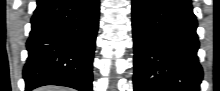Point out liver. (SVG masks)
<instances>
[{
    "label": "liver",
    "instance_id": "6515ba94",
    "mask_svg": "<svg viewBox=\"0 0 220 91\" xmlns=\"http://www.w3.org/2000/svg\"><path fill=\"white\" fill-rule=\"evenodd\" d=\"M36 91H69V90H67L66 88L47 86V87L39 88Z\"/></svg>",
    "mask_w": 220,
    "mask_h": 91
}]
</instances>
